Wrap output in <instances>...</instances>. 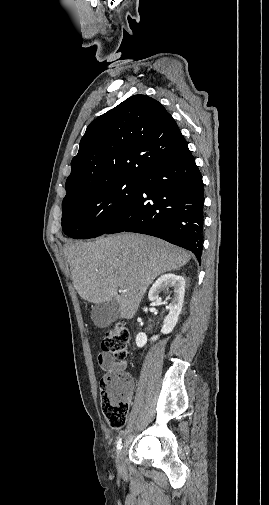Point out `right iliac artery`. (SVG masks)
Masks as SVG:
<instances>
[{
  "mask_svg": "<svg viewBox=\"0 0 269 505\" xmlns=\"http://www.w3.org/2000/svg\"><path fill=\"white\" fill-rule=\"evenodd\" d=\"M122 448V439H119L117 442V450H120Z\"/></svg>",
  "mask_w": 269,
  "mask_h": 505,
  "instance_id": "1",
  "label": "right iliac artery"
}]
</instances>
